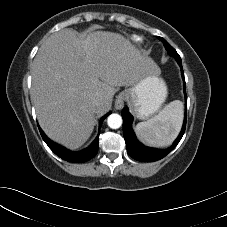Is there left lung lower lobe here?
<instances>
[{"label": "left lung lower lobe", "instance_id": "1", "mask_svg": "<svg viewBox=\"0 0 227 227\" xmlns=\"http://www.w3.org/2000/svg\"><path fill=\"white\" fill-rule=\"evenodd\" d=\"M181 68V75L184 81V94L186 99V109H185V118L182 130L178 136V138L175 140L173 145L165 150L156 149V148H150L144 146L142 143H140L132 130V121L133 117L131 116L129 109L125 107L122 110V117H123V134L124 139L126 142L127 147V153L134 158L137 161H143V162H153L162 159L167 154H169L179 143L181 140L184 132H185V126H186V111H187V96H186V90H185V79H184V73L182 69V63H178Z\"/></svg>", "mask_w": 227, "mask_h": 227}]
</instances>
